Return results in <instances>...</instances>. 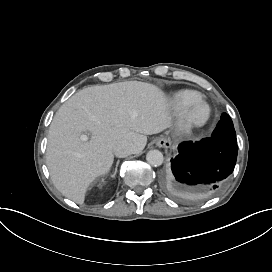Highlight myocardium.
Listing matches in <instances>:
<instances>
[{"mask_svg": "<svg viewBox=\"0 0 272 272\" xmlns=\"http://www.w3.org/2000/svg\"><path fill=\"white\" fill-rule=\"evenodd\" d=\"M197 102H204L208 108V116L205 121L197 123L190 119L189 117V109ZM181 113H180V120L185 123L190 129H201L207 126L212 118H213V109L211 105L206 101V99L202 95H198L190 100L183 102L180 105Z\"/></svg>", "mask_w": 272, "mask_h": 272, "instance_id": "myocardium-1", "label": "myocardium"}]
</instances>
